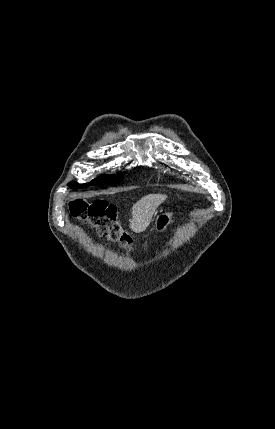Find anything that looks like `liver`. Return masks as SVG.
Returning <instances> with one entry per match:
<instances>
[{
    "instance_id": "liver-1",
    "label": "liver",
    "mask_w": 275,
    "mask_h": 429,
    "mask_svg": "<svg viewBox=\"0 0 275 429\" xmlns=\"http://www.w3.org/2000/svg\"><path fill=\"white\" fill-rule=\"evenodd\" d=\"M167 198L165 194H149L138 200L132 207V220L130 229L135 233H141L149 226L151 219L158 208Z\"/></svg>"
}]
</instances>
